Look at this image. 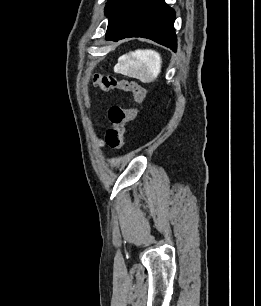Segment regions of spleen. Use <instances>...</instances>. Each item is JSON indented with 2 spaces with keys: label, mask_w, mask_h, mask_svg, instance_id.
<instances>
[{
  "label": "spleen",
  "mask_w": 261,
  "mask_h": 306,
  "mask_svg": "<svg viewBox=\"0 0 261 306\" xmlns=\"http://www.w3.org/2000/svg\"><path fill=\"white\" fill-rule=\"evenodd\" d=\"M162 59L154 50H136L118 59L114 70L124 76L139 79L142 82H153L161 71Z\"/></svg>",
  "instance_id": "1"
}]
</instances>
